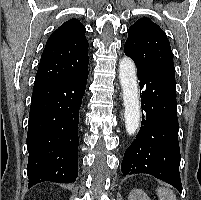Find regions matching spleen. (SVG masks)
I'll return each mask as SVG.
<instances>
[{"label":"spleen","mask_w":201,"mask_h":200,"mask_svg":"<svg viewBox=\"0 0 201 200\" xmlns=\"http://www.w3.org/2000/svg\"><path fill=\"white\" fill-rule=\"evenodd\" d=\"M157 195L159 200H176L175 194L168 188L160 187L157 189Z\"/></svg>","instance_id":"spleen-1"}]
</instances>
